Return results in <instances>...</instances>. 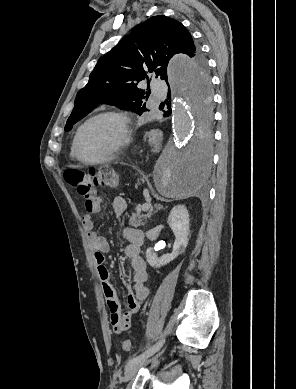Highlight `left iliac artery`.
<instances>
[{
	"mask_svg": "<svg viewBox=\"0 0 296 389\" xmlns=\"http://www.w3.org/2000/svg\"><path fill=\"white\" fill-rule=\"evenodd\" d=\"M163 340L159 341L157 344H155L153 347L149 348L148 350H146L145 352H143L142 354L132 358L131 360H129L126 364V370L136 364H138L139 362H141L142 360H144L145 358L151 356L152 354H154L163 344Z\"/></svg>",
	"mask_w": 296,
	"mask_h": 389,
	"instance_id": "obj_1",
	"label": "left iliac artery"
}]
</instances>
